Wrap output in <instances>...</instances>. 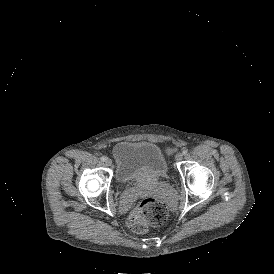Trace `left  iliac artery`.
<instances>
[{"label":"left iliac artery","mask_w":274,"mask_h":274,"mask_svg":"<svg viewBox=\"0 0 274 274\" xmlns=\"http://www.w3.org/2000/svg\"><path fill=\"white\" fill-rule=\"evenodd\" d=\"M182 154H183V155H187V154H188V151H187L186 149H184V150L182 151Z\"/></svg>","instance_id":"44dca946"}]
</instances>
